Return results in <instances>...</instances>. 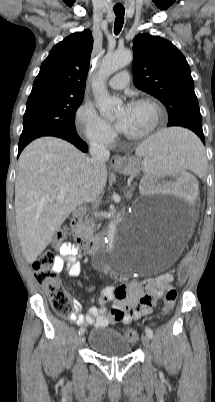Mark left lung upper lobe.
Segmentation results:
<instances>
[{"instance_id": "5c2ea615", "label": "left lung upper lobe", "mask_w": 215, "mask_h": 402, "mask_svg": "<svg viewBox=\"0 0 215 402\" xmlns=\"http://www.w3.org/2000/svg\"><path fill=\"white\" fill-rule=\"evenodd\" d=\"M135 86L158 98L167 108V126L202 132V116L184 55L169 41L140 34L133 40Z\"/></svg>"}]
</instances>
